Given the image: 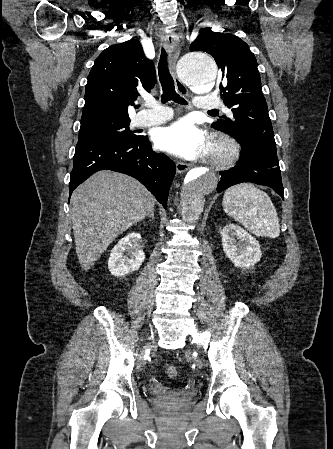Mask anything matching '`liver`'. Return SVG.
I'll return each mask as SVG.
<instances>
[{
    "label": "liver",
    "mask_w": 333,
    "mask_h": 449,
    "mask_svg": "<svg viewBox=\"0 0 333 449\" xmlns=\"http://www.w3.org/2000/svg\"><path fill=\"white\" fill-rule=\"evenodd\" d=\"M155 198L136 179L99 171L78 186L70 199L76 254L89 270L112 241L149 216Z\"/></svg>",
    "instance_id": "obj_1"
}]
</instances>
